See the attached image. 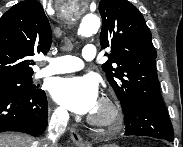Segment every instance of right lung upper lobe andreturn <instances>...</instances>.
<instances>
[{"mask_svg":"<svg viewBox=\"0 0 183 147\" xmlns=\"http://www.w3.org/2000/svg\"><path fill=\"white\" fill-rule=\"evenodd\" d=\"M51 41V27L37 0L11 7L0 18V80L32 75L30 58L46 54Z\"/></svg>","mask_w":183,"mask_h":147,"instance_id":"1","label":"right lung upper lobe"}]
</instances>
